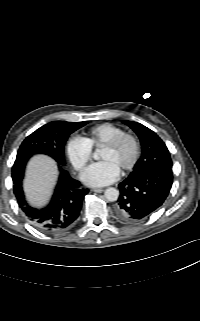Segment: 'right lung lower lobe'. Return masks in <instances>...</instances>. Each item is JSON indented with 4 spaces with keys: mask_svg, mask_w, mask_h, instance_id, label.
Segmentation results:
<instances>
[{
    "mask_svg": "<svg viewBox=\"0 0 200 321\" xmlns=\"http://www.w3.org/2000/svg\"><path fill=\"white\" fill-rule=\"evenodd\" d=\"M29 158H19L12 167L13 190L19 207L37 228L44 232H60L70 227L78 218L84 196L88 189L73 179L65 168L58 164L59 180L50 203L41 209L32 207L25 199L22 179Z\"/></svg>",
    "mask_w": 200,
    "mask_h": 321,
    "instance_id": "right-lung-lower-lobe-1",
    "label": "right lung lower lobe"
}]
</instances>
